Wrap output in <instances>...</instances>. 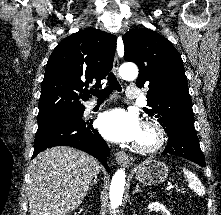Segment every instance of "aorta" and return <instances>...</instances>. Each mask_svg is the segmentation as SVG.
Here are the masks:
<instances>
[{
	"label": "aorta",
	"instance_id": "1",
	"mask_svg": "<svg viewBox=\"0 0 221 215\" xmlns=\"http://www.w3.org/2000/svg\"><path fill=\"white\" fill-rule=\"evenodd\" d=\"M119 75L124 80H134L138 76V68L133 63H125L120 67ZM125 183V170L118 169L112 177L109 192L110 202L113 208L118 207L122 203Z\"/></svg>",
	"mask_w": 221,
	"mask_h": 215
}]
</instances>
